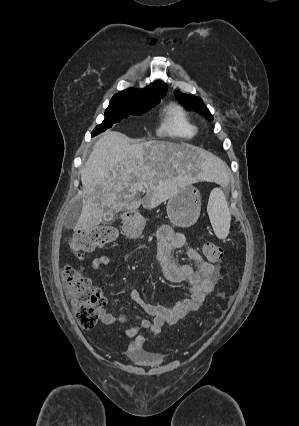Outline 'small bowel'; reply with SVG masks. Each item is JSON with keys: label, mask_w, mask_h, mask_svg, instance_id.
I'll return each mask as SVG.
<instances>
[{"label": "small bowel", "mask_w": 299, "mask_h": 426, "mask_svg": "<svg viewBox=\"0 0 299 426\" xmlns=\"http://www.w3.org/2000/svg\"><path fill=\"white\" fill-rule=\"evenodd\" d=\"M185 247L184 235L175 232L169 225H163L158 229L157 260L168 281L186 285L188 295L185 299L176 302L172 307H164L145 301L138 290L132 289L129 292L131 300L152 317V320L143 319L135 324H131L130 318L126 315H115L102 308L99 310V318L107 326H113L115 323L131 324L123 330L113 328L115 332L134 339L125 350V354L131 359L148 363L156 361L157 355L144 348L147 341L146 334L160 333L165 324H174L188 313L196 311L221 278L218 266L205 260L197 250ZM180 249H185L186 255L193 261L195 267L174 260L173 253ZM110 263L111 258L108 255H101L92 261V268L96 273H100Z\"/></svg>", "instance_id": "small-bowel-1"}]
</instances>
